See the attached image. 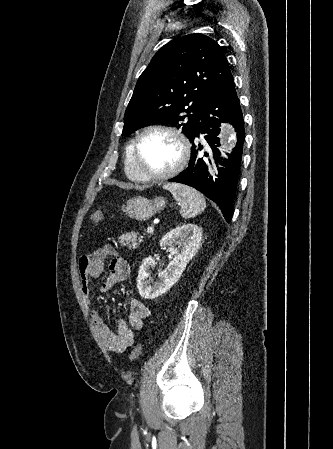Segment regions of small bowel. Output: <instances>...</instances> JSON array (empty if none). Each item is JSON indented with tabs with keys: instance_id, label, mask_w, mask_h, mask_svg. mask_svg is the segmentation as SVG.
<instances>
[{
	"instance_id": "small-bowel-1",
	"label": "small bowel",
	"mask_w": 333,
	"mask_h": 449,
	"mask_svg": "<svg viewBox=\"0 0 333 449\" xmlns=\"http://www.w3.org/2000/svg\"><path fill=\"white\" fill-rule=\"evenodd\" d=\"M111 257L108 264V274L100 284V290L109 291L115 284L125 280L130 273L128 263L122 259L111 245H105L92 254L84 255L79 260L81 291L90 302L91 279L101 275L106 258ZM128 319H118L116 329L112 330L100 314L91 310L94 326L109 350L123 352L134 344L135 331L141 330L144 320L148 318L150 310L138 299L130 300Z\"/></svg>"
}]
</instances>
